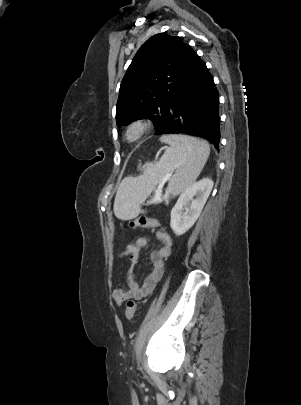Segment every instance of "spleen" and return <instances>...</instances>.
Wrapping results in <instances>:
<instances>
[{
	"mask_svg": "<svg viewBox=\"0 0 301 405\" xmlns=\"http://www.w3.org/2000/svg\"><path fill=\"white\" fill-rule=\"evenodd\" d=\"M169 144L159 162L149 164L142 176L123 179L114 202V214L128 220L140 213L141 203L149 196L156 184L167 175L170 177L168 191L176 196L191 186L201 173L210 154L209 144L185 135H167L160 138Z\"/></svg>",
	"mask_w": 301,
	"mask_h": 405,
	"instance_id": "spleen-1",
	"label": "spleen"
}]
</instances>
